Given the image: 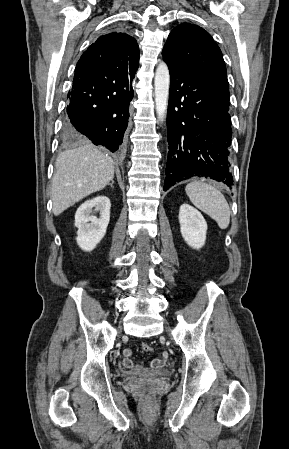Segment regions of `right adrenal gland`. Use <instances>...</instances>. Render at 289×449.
Instances as JSON below:
<instances>
[{"mask_svg":"<svg viewBox=\"0 0 289 449\" xmlns=\"http://www.w3.org/2000/svg\"><path fill=\"white\" fill-rule=\"evenodd\" d=\"M113 184H114V181L112 180L111 183H110L109 185H110L112 188H114Z\"/></svg>","mask_w":289,"mask_h":449,"instance_id":"1","label":"right adrenal gland"}]
</instances>
